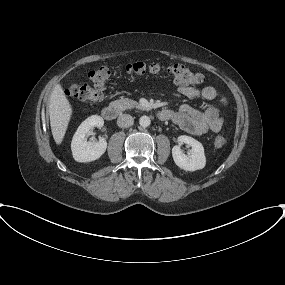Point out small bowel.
Here are the masks:
<instances>
[{
  "label": "small bowel",
  "instance_id": "c3829d8e",
  "mask_svg": "<svg viewBox=\"0 0 285 285\" xmlns=\"http://www.w3.org/2000/svg\"><path fill=\"white\" fill-rule=\"evenodd\" d=\"M178 92L187 98H201L205 100L219 99L226 104V98L212 86L196 88L188 85H180ZM166 120L173 121L182 130L189 134L201 136L208 132L218 133L223 127V117L217 107L211 106L204 111H199L187 104H182L178 110H168Z\"/></svg>",
  "mask_w": 285,
  "mask_h": 285
}]
</instances>
